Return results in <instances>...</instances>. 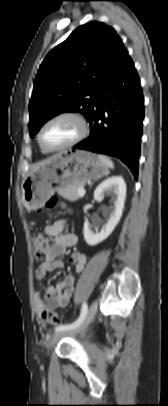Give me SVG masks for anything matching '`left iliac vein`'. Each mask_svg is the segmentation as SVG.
Masks as SVG:
<instances>
[{
	"label": "left iliac vein",
	"instance_id": "left-iliac-vein-1",
	"mask_svg": "<svg viewBox=\"0 0 168 406\" xmlns=\"http://www.w3.org/2000/svg\"><path fill=\"white\" fill-rule=\"evenodd\" d=\"M97 309H98V302L94 301L91 304V306H90L84 320L81 322V324H79L77 327H75L73 329H70V330L57 331L52 336L51 342L49 344V349L62 337L66 336V335L77 334V333L82 332L83 330H85L89 326V324L92 322V320L94 319V317L96 315V312H97Z\"/></svg>",
	"mask_w": 168,
	"mask_h": 406
}]
</instances>
